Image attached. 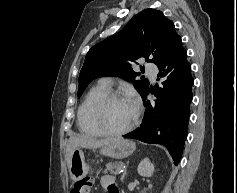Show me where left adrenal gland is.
Masks as SVG:
<instances>
[{
    "instance_id": "a2214340",
    "label": "left adrenal gland",
    "mask_w": 237,
    "mask_h": 193,
    "mask_svg": "<svg viewBox=\"0 0 237 193\" xmlns=\"http://www.w3.org/2000/svg\"><path fill=\"white\" fill-rule=\"evenodd\" d=\"M126 172H127V169L125 170V172L123 173L122 177H121V180L124 179L125 175H126Z\"/></svg>"
}]
</instances>
